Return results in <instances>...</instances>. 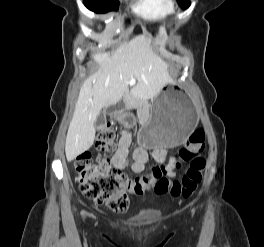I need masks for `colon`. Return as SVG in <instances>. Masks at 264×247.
Instances as JSON below:
<instances>
[{"label": "colon", "instance_id": "colon-1", "mask_svg": "<svg viewBox=\"0 0 264 247\" xmlns=\"http://www.w3.org/2000/svg\"><path fill=\"white\" fill-rule=\"evenodd\" d=\"M116 133L107 123L97 134L98 156L93 160L89 153L81 154L75 162L76 180L82 194L98 204H104L115 212H126L130 197H142L147 190L158 195L170 194L174 197H190L197 189L205 168L201 156L205 147L203 129L195 130L174 160L173 166L180 168L190 162V167L181 180L170 181L167 174L169 165L155 166L152 172L141 179L130 180L109 162V155L115 149Z\"/></svg>", "mask_w": 264, "mask_h": 247}]
</instances>
